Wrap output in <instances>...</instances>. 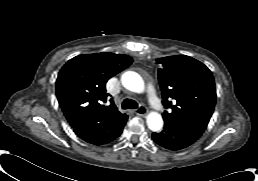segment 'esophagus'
Wrapping results in <instances>:
<instances>
[{
  "label": "esophagus",
  "mask_w": 258,
  "mask_h": 181,
  "mask_svg": "<svg viewBox=\"0 0 258 181\" xmlns=\"http://www.w3.org/2000/svg\"><path fill=\"white\" fill-rule=\"evenodd\" d=\"M135 114L139 116H145L147 114V109L145 106H140L138 109L135 110Z\"/></svg>",
  "instance_id": "esophagus-1"
}]
</instances>
